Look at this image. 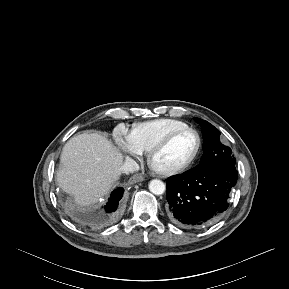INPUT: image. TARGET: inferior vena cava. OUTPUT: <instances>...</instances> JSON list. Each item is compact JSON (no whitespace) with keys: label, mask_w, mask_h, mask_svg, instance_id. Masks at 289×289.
<instances>
[{"label":"inferior vena cava","mask_w":289,"mask_h":289,"mask_svg":"<svg viewBox=\"0 0 289 289\" xmlns=\"http://www.w3.org/2000/svg\"><path fill=\"white\" fill-rule=\"evenodd\" d=\"M139 170V165L131 158H127L121 167V171L124 173H133Z\"/></svg>","instance_id":"602c4592"}]
</instances>
